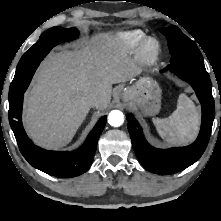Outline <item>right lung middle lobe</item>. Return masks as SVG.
<instances>
[{
  "label": "right lung middle lobe",
  "instance_id": "right-lung-middle-lobe-1",
  "mask_svg": "<svg viewBox=\"0 0 221 221\" xmlns=\"http://www.w3.org/2000/svg\"><path fill=\"white\" fill-rule=\"evenodd\" d=\"M77 37V29H64L60 26L52 27L42 33L39 40L24 53L17 65L16 73L9 89V100L14 99L27 89L39 65L37 64V60L40 57H45L55 45Z\"/></svg>",
  "mask_w": 221,
  "mask_h": 221
}]
</instances>
